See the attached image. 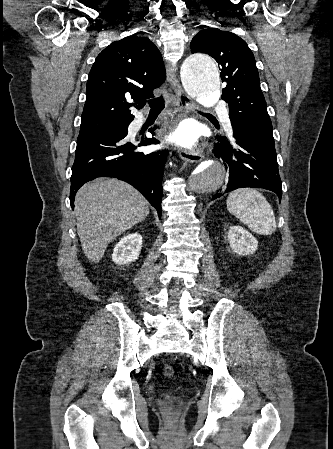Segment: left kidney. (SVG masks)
<instances>
[{"instance_id": "1", "label": "left kidney", "mask_w": 333, "mask_h": 449, "mask_svg": "<svg viewBox=\"0 0 333 449\" xmlns=\"http://www.w3.org/2000/svg\"><path fill=\"white\" fill-rule=\"evenodd\" d=\"M227 238L230 247L238 255L253 254L258 247L256 238L241 226H231Z\"/></svg>"}]
</instances>
